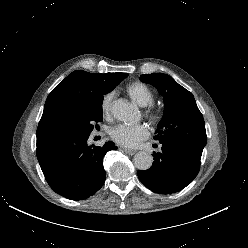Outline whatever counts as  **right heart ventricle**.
<instances>
[{"instance_id":"right-heart-ventricle-1","label":"right heart ventricle","mask_w":248,"mask_h":248,"mask_svg":"<svg viewBox=\"0 0 248 248\" xmlns=\"http://www.w3.org/2000/svg\"><path fill=\"white\" fill-rule=\"evenodd\" d=\"M126 92L134 102L143 107L154 101L152 90L142 82L130 83L126 87Z\"/></svg>"}]
</instances>
